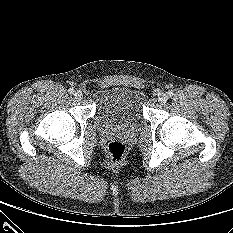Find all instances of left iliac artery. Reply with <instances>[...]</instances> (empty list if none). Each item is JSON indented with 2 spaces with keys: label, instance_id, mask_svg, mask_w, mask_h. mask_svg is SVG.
<instances>
[{
  "label": "left iliac artery",
  "instance_id": "44dca946",
  "mask_svg": "<svg viewBox=\"0 0 233 233\" xmlns=\"http://www.w3.org/2000/svg\"><path fill=\"white\" fill-rule=\"evenodd\" d=\"M173 95H174L173 91H168L167 96H168L169 98L173 97Z\"/></svg>",
  "mask_w": 233,
  "mask_h": 233
}]
</instances>
